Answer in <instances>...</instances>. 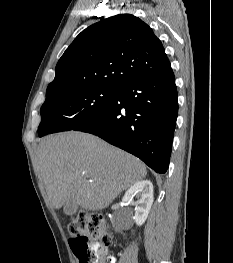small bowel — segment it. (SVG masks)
<instances>
[{"label": "small bowel", "instance_id": "c3829d8e", "mask_svg": "<svg viewBox=\"0 0 233 263\" xmlns=\"http://www.w3.org/2000/svg\"><path fill=\"white\" fill-rule=\"evenodd\" d=\"M116 257H114V256H109V258H108V262L107 263H116Z\"/></svg>", "mask_w": 233, "mask_h": 263}]
</instances>
